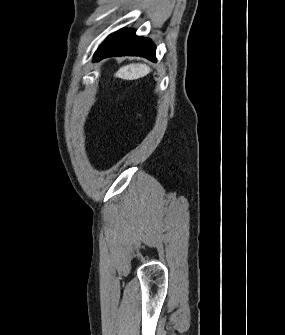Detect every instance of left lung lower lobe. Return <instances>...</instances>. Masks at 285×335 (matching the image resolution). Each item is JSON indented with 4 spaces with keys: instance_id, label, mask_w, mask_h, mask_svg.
Returning <instances> with one entry per match:
<instances>
[{
    "instance_id": "left-lung-lower-lobe-1",
    "label": "left lung lower lobe",
    "mask_w": 285,
    "mask_h": 335,
    "mask_svg": "<svg viewBox=\"0 0 285 335\" xmlns=\"http://www.w3.org/2000/svg\"><path fill=\"white\" fill-rule=\"evenodd\" d=\"M142 56L156 61L155 46L150 39L135 35L133 30L120 29L108 36L99 46L94 61L110 56Z\"/></svg>"
}]
</instances>
